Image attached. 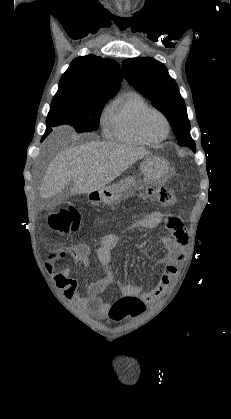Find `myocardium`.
<instances>
[{
	"mask_svg": "<svg viewBox=\"0 0 231 419\" xmlns=\"http://www.w3.org/2000/svg\"><path fill=\"white\" fill-rule=\"evenodd\" d=\"M150 113H157V114H159L162 117V119L164 120L165 125H166V132H165V134L162 137L158 138V139H153L150 136H148V134L145 132V129H144L145 119H146V117ZM137 130H138L140 136L147 143H149V144H157V143H160V142L164 141L168 137V135L170 133V130H171V125H170L169 119L167 118V116L161 110H159L157 108H150L149 107L148 109L144 110L139 115V117L137 119Z\"/></svg>",
	"mask_w": 231,
	"mask_h": 419,
	"instance_id": "myocardium-1",
	"label": "myocardium"
}]
</instances>
